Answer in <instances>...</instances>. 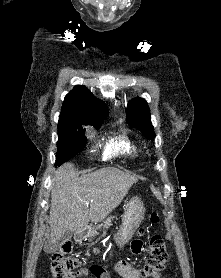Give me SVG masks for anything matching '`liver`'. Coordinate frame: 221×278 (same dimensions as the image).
Listing matches in <instances>:
<instances>
[{
	"instance_id": "6515ba94",
	"label": "liver",
	"mask_w": 221,
	"mask_h": 278,
	"mask_svg": "<svg viewBox=\"0 0 221 278\" xmlns=\"http://www.w3.org/2000/svg\"><path fill=\"white\" fill-rule=\"evenodd\" d=\"M137 182L135 175L113 167L79 176L72 164L61 166L51 185L50 245L67 231L83 232L90 221H102Z\"/></svg>"
}]
</instances>
